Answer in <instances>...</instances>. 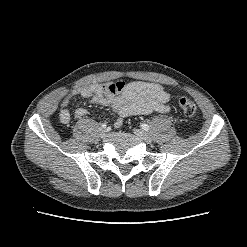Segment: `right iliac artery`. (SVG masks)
I'll return each instance as SVG.
<instances>
[{"label":"right iliac artery","mask_w":247,"mask_h":247,"mask_svg":"<svg viewBox=\"0 0 247 247\" xmlns=\"http://www.w3.org/2000/svg\"><path fill=\"white\" fill-rule=\"evenodd\" d=\"M106 126H107V125H106L105 123L102 124V127H103V128H106Z\"/></svg>","instance_id":"82829eb1"}]
</instances>
